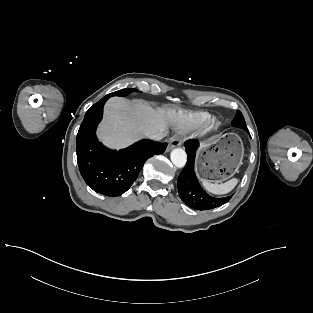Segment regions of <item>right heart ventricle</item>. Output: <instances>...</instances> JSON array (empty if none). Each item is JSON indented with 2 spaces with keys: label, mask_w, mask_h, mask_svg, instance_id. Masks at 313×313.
<instances>
[{
  "label": "right heart ventricle",
  "mask_w": 313,
  "mask_h": 313,
  "mask_svg": "<svg viewBox=\"0 0 313 313\" xmlns=\"http://www.w3.org/2000/svg\"><path fill=\"white\" fill-rule=\"evenodd\" d=\"M208 118L204 113H193L183 116V119L179 125L180 129H189L201 125Z\"/></svg>",
  "instance_id": "1"
}]
</instances>
